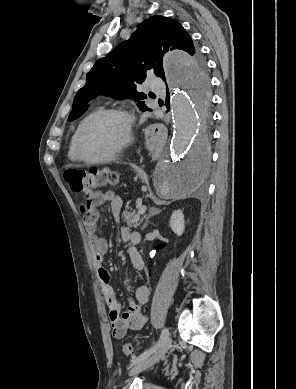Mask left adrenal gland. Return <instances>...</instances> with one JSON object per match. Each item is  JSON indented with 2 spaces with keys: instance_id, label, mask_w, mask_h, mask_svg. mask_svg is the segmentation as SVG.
<instances>
[{
  "instance_id": "a2214340",
  "label": "left adrenal gland",
  "mask_w": 296,
  "mask_h": 389,
  "mask_svg": "<svg viewBox=\"0 0 296 389\" xmlns=\"http://www.w3.org/2000/svg\"><path fill=\"white\" fill-rule=\"evenodd\" d=\"M160 212H161V209H159V208H156V207L149 208V214L146 217L145 224L143 225L142 230H144L147 227L149 219L152 216L159 214Z\"/></svg>"
}]
</instances>
